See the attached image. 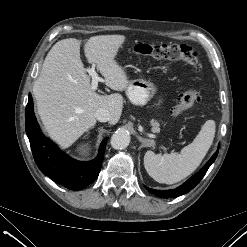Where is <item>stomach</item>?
<instances>
[{
    "label": "stomach",
    "instance_id": "1",
    "mask_svg": "<svg viewBox=\"0 0 247 247\" xmlns=\"http://www.w3.org/2000/svg\"><path fill=\"white\" fill-rule=\"evenodd\" d=\"M156 85L144 79L131 80L126 88V95L135 105L147 104L156 94ZM160 105V102L156 106Z\"/></svg>",
    "mask_w": 247,
    "mask_h": 247
}]
</instances>
